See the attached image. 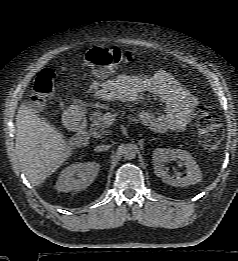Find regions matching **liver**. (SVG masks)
Listing matches in <instances>:
<instances>
[{"instance_id":"6515ba94","label":"liver","mask_w":238,"mask_h":261,"mask_svg":"<svg viewBox=\"0 0 238 261\" xmlns=\"http://www.w3.org/2000/svg\"><path fill=\"white\" fill-rule=\"evenodd\" d=\"M16 152L27 179L40 186L71 155L64 136L23 103L16 116Z\"/></svg>"}]
</instances>
